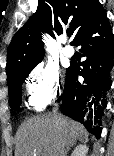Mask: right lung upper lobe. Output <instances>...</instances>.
<instances>
[{
  "label": "right lung upper lobe",
  "instance_id": "1",
  "mask_svg": "<svg viewBox=\"0 0 114 156\" xmlns=\"http://www.w3.org/2000/svg\"><path fill=\"white\" fill-rule=\"evenodd\" d=\"M102 9L98 0H39L36 13L15 33L9 45L8 84L15 76L32 70L43 59L42 32L54 37L68 27L67 31L75 40Z\"/></svg>",
  "mask_w": 114,
  "mask_h": 156
}]
</instances>
